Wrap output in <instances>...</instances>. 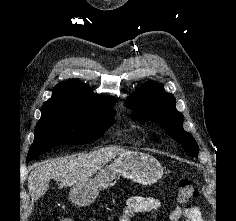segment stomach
Masks as SVG:
<instances>
[{
  "label": "stomach",
  "instance_id": "0dacf381",
  "mask_svg": "<svg viewBox=\"0 0 236 221\" xmlns=\"http://www.w3.org/2000/svg\"><path fill=\"white\" fill-rule=\"evenodd\" d=\"M163 175V167L154 157L141 152H125L99 170L94 178L74 185L70 200L78 206H87L98 196L100 190L111 185L116 176H122L142 185L157 182Z\"/></svg>",
  "mask_w": 236,
  "mask_h": 221
}]
</instances>
